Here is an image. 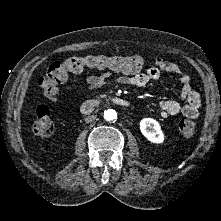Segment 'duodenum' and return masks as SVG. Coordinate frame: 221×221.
Returning a JSON list of instances; mask_svg holds the SVG:
<instances>
[{
	"mask_svg": "<svg viewBox=\"0 0 221 221\" xmlns=\"http://www.w3.org/2000/svg\"><path fill=\"white\" fill-rule=\"evenodd\" d=\"M115 104L121 107H129L130 102L122 97H106L103 99H91L85 101L81 106V111L84 114L93 113L102 104Z\"/></svg>",
	"mask_w": 221,
	"mask_h": 221,
	"instance_id": "obj_1",
	"label": "duodenum"
}]
</instances>
